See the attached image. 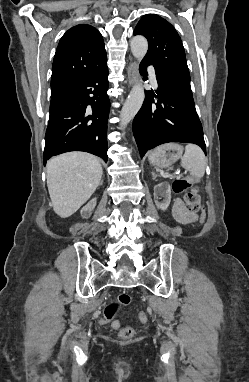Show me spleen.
I'll use <instances>...</instances> for the list:
<instances>
[{
  "label": "spleen",
  "mask_w": 249,
  "mask_h": 382,
  "mask_svg": "<svg viewBox=\"0 0 249 382\" xmlns=\"http://www.w3.org/2000/svg\"><path fill=\"white\" fill-rule=\"evenodd\" d=\"M181 166L189 173L201 178L205 173L206 157L202 149L194 144H188L185 147V153L181 159Z\"/></svg>",
  "instance_id": "obj_1"
}]
</instances>
